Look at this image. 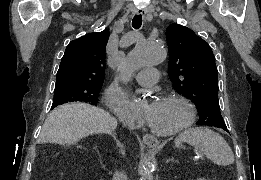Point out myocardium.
<instances>
[{
    "label": "myocardium",
    "mask_w": 261,
    "mask_h": 180,
    "mask_svg": "<svg viewBox=\"0 0 261 180\" xmlns=\"http://www.w3.org/2000/svg\"><path fill=\"white\" fill-rule=\"evenodd\" d=\"M163 98L167 99H175L180 101L186 108V114L184 120L182 122L181 127L178 131L170 134H152L147 125L145 124V129L148 135L154 136L160 140H176L183 136L189 127L192 125L194 117H195V107L193 102L184 94L178 91H168L164 93Z\"/></svg>",
    "instance_id": "f54148a6"
}]
</instances>
